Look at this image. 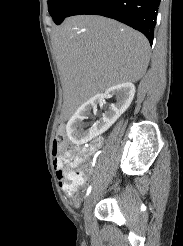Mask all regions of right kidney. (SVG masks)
Segmentation results:
<instances>
[{"label":"right kidney","mask_w":183,"mask_h":246,"mask_svg":"<svg viewBox=\"0 0 183 246\" xmlns=\"http://www.w3.org/2000/svg\"><path fill=\"white\" fill-rule=\"evenodd\" d=\"M134 94L135 86L133 83L126 82L112 86L105 93L97 94L87 100L77 109L67 123L66 130L69 139L74 144H82L107 131L130 106ZM112 96L116 97V103L111 104L110 109L103 114L102 119L97 121L90 131L80 129L82 121L89 114L91 108H94L98 103H103L106 98H111Z\"/></svg>","instance_id":"obj_1"}]
</instances>
